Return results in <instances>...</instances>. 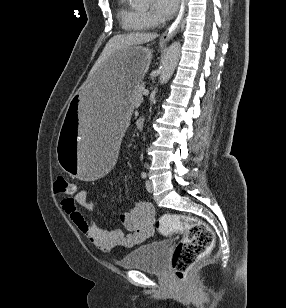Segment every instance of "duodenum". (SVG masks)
Wrapping results in <instances>:
<instances>
[{
    "mask_svg": "<svg viewBox=\"0 0 286 308\" xmlns=\"http://www.w3.org/2000/svg\"><path fill=\"white\" fill-rule=\"evenodd\" d=\"M143 124H144V120L143 119H138L136 122V127L138 129H142L143 128Z\"/></svg>",
    "mask_w": 286,
    "mask_h": 308,
    "instance_id": "1",
    "label": "duodenum"
}]
</instances>
